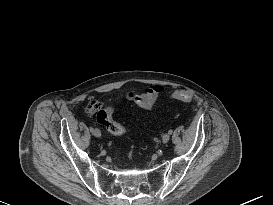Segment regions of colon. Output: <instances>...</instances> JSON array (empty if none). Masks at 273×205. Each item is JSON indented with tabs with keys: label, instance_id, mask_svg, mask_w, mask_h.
Wrapping results in <instances>:
<instances>
[{
	"label": "colon",
	"instance_id": "5ec220e1",
	"mask_svg": "<svg viewBox=\"0 0 273 205\" xmlns=\"http://www.w3.org/2000/svg\"><path fill=\"white\" fill-rule=\"evenodd\" d=\"M171 98L182 102H189L191 101L192 96L187 91L179 90L173 92L171 94ZM86 109L90 113H97V121L111 134L116 136L125 134V127L114 119V108L108 107L106 109L100 110L99 103L92 99L88 102Z\"/></svg>",
	"mask_w": 273,
	"mask_h": 205
}]
</instances>
